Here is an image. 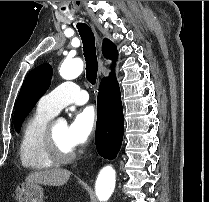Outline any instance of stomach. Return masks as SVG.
I'll list each match as a JSON object with an SVG mask.
<instances>
[{
  "mask_svg": "<svg viewBox=\"0 0 209 202\" xmlns=\"http://www.w3.org/2000/svg\"><path fill=\"white\" fill-rule=\"evenodd\" d=\"M15 198L17 202H43L44 193L39 184L25 182L16 187Z\"/></svg>",
  "mask_w": 209,
  "mask_h": 202,
  "instance_id": "stomach-1",
  "label": "stomach"
}]
</instances>
